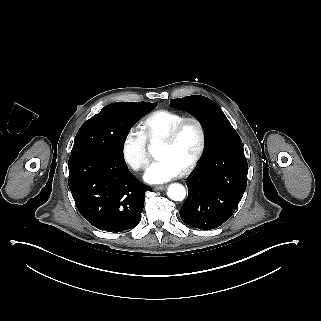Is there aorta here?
Returning <instances> with one entry per match:
<instances>
[{"instance_id":"762f6f07","label":"aorta","mask_w":321,"mask_h":321,"mask_svg":"<svg viewBox=\"0 0 321 321\" xmlns=\"http://www.w3.org/2000/svg\"><path fill=\"white\" fill-rule=\"evenodd\" d=\"M167 195L174 201H182L186 196V190L183 185L174 183L169 186Z\"/></svg>"}]
</instances>
